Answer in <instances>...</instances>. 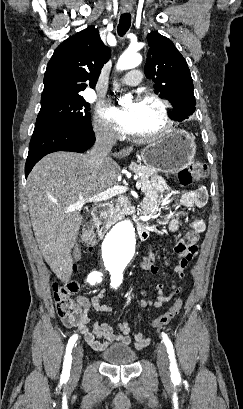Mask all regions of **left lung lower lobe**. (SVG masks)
Wrapping results in <instances>:
<instances>
[{
  "label": "left lung lower lobe",
  "instance_id": "left-lung-lower-lobe-1",
  "mask_svg": "<svg viewBox=\"0 0 243 409\" xmlns=\"http://www.w3.org/2000/svg\"><path fill=\"white\" fill-rule=\"evenodd\" d=\"M192 115V114H191ZM191 115H188V116H181V117H176L175 118V120H177V121H179V122H181L182 120H184V119H187L189 116H191Z\"/></svg>",
  "mask_w": 243,
  "mask_h": 409
}]
</instances>
